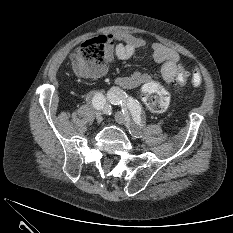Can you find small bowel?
I'll return each instance as SVG.
<instances>
[{"label":"small bowel","instance_id":"small-bowel-1","mask_svg":"<svg viewBox=\"0 0 233 233\" xmlns=\"http://www.w3.org/2000/svg\"><path fill=\"white\" fill-rule=\"evenodd\" d=\"M146 42L131 34H112L108 36V45L106 48L107 62L113 61L114 57L121 60L131 58L137 51L143 50ZM152 61L161 65V74L168 85H171L182 67L179 63V55L176 51L166 47L161 43L152 45ZM106 71V67L99 73ZM149 81V76L142 72H135L130 76L119 77L116 79L117 85L123 88H134Z\"/></svg>","mask_w":233,"mask_h":233}]
</instances>
